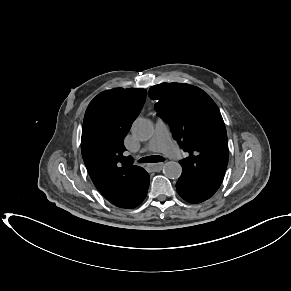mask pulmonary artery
Returning <instances> with one entry per match:
<instances>
[{
  "label": "pulmonary artery",
  "mask_w": 291,
  "mask_h": 291,
  "mask_svg": "<svg viewBox=\"0 0 291 291\" xmlns=\"http://www.w3.org/2000/svg\"><path fill=\"white\" fill-rule=\"evenodd\" d=\"M147 147L151 152H163L173 159H177L181 155V151L171 138L168 126L160 118L156 120L154 134Z\"/></svg>",
  "instance_id": "1"
}]
</instances>
